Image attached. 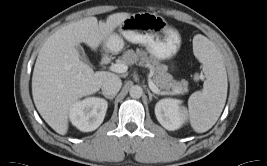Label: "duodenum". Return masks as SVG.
<instances>
[{"mask_svg": "<svg viewBox=\"0 0 267 166\" xmlns=\"http://www.w3.org/2000/svg\"><path fill=\"white\" fill-rule=\"evenodd\" d=\"M109 60H110V58L107 54L102 55V62L103 63H107V62H109Z\"/></svg>", "mask_w": 267, "mask_h": 166, "instance_id": "duodenum-1", "label": "duodenum"}]
</instances>
